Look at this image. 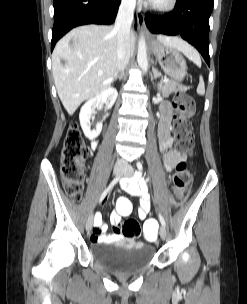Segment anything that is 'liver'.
<instances>
[{
  "mask_svg": "<svg viewBox=\"0 0 247 304\" xmlns=\"http://www.w3.org/2000/svg\"><path fill=\"white\" fill-rule=\"evenodd\" d=\"M157 38L164 46L177 49L187 57L198 54L178 37L159 35ZM135 41L136 36L131 33V50H134ZM52 71L60 100L67 113L73 115L82 102L109 88L117 76V32L114 27L84 25L72 29L54 48Z\"/></svg>",
  "mask_w": 247,
  "mask_h": 304,
  "instance_id": "liver-1",
  "label": "liver"
}]
</instances>
